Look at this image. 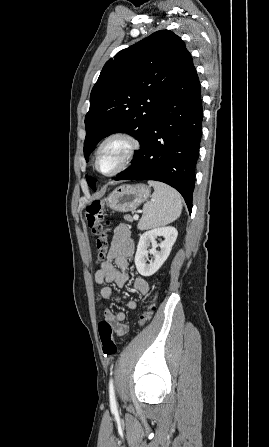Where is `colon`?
I'll use <instances>...</instances> for the list:
<instances>
[{"instance_id":"obj_1","label":"colon","mask_w":269,"mask_h":447,"mask_svg":"<svg viewBox=\"0 0 269 447\" xmlns=\"http://www.w3.org/2000/svg\"><path fill=\"white\" fill-rule=\"evenodd\" d=\"M85 221L87 226L97 235L95 246L98 249V256L102 259L109 245L110 238V222L104 215V206L100 203H93L89 205L85 210ZM158 297L153 295L148 300L147 305L149 311L152 312L155 309L156 301ZM152 317L148 315H140L138 320L133 321L132 327L134 329L140 328L141 325H147L148 320ZM98 334L102 343L103 353L108 357L116 356L119 352L118 345L114 340V329L110 322L101 320L97 326Z\"/></svg>"}]
</instances>
